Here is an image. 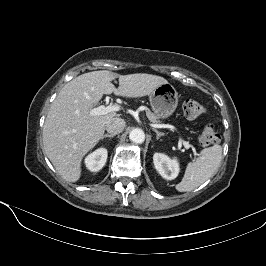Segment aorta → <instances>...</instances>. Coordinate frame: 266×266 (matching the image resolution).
Wrapping results in <instances>:
<instances>
[{
    "label": "aorta",
    "instance_id": "1",
    "mask_svg": "<svg viewBox=\"0 0 266 266\" xmlns=\"http://www.w3.org/2000/svg\"><path fill=\"white\" fill-rule=\"evenodd\" d=\"M129 138L132 142L141 144L145 140V134L142 129L135 128L130 132Z\"/></svg>",
    "mask_w": 266,
    "mask_h": 266
}]
</instances>
